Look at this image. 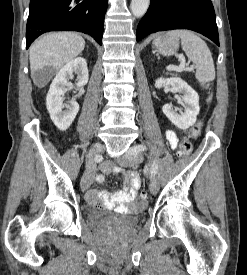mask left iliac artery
<instances>
[{"instance_id": "44dca946", "label": "left iliac artery", "mask_w": 247, "mask_h": 275, "mask_svg": "<svg viewBox=\"0 0 247 275\" xmlns=\"http://www.w3.org/2000/svg\"><path fill=\"white\" fill-rule=\"evenodd\" d=\"M137 152H143L146 147L144 145H137ZM157 171H158V165L157 163L154 161L151 165V169H150V172H151V176H155L157 174Z\"/></svg>"}]
</instances>
